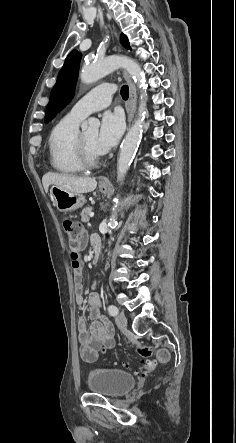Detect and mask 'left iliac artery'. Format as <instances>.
I'll list each match as a JSON object with an SVG mask.
<instances>
[{"instance_id":"left-iliac-artery-1","label":"left iliac artery","mask_w":236,"mask_h":443,"mask_svg":"<svg viewBox=\"0 0 236 443\" xmlns=\"http://www.w3.org/2000/svg\"><path fill=\"white\" fill-rule=\"evenodd\" d=\"M108 312L111 316H116L118 314L119 310L115 305H109Z\"/></svg>"}]
</instances>
